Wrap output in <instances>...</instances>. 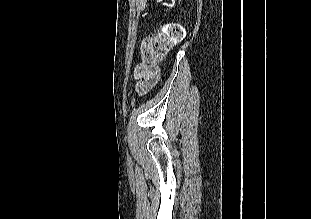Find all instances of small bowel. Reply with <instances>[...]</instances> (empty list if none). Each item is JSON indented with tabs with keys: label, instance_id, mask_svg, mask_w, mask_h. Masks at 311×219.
<instances>
[{
	"label": "small bowel",
	"instance_id": "obj_1",
	"mask_svg": "<svg viewBox=\"0 0 311 219\" xmlns=\"http://www.w3.org/2000/svg\"><path fill=\"white\" fill-rule=\"evenodd\" d=\"M136 78L139 80L137 84V90L140 93H145L149 89H151L157 82L156 77H151L149 74H147L144 71H139V69L136 71Z\"/></svg>",
	"mask_w": 311,
	"mask_h": 219
}]
</instances>
